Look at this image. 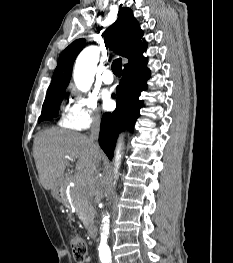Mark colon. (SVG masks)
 <instances>
[{"label":"colon","instance_id":"obj_1","mask_svg":"<svg viewBox=\"0 0 233 263\" xmlns=\"http://www.w3.org/2000/svg\"><path fill=\"white\" fill-rule=\"evenodd\" d=\"M73 257L77 263H80L87 254V244L85 239L78 233L70 235Z\"/></svg>","mask_w":233,"mask_h":263}]
</instances>
